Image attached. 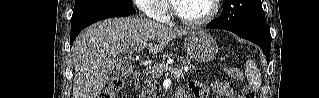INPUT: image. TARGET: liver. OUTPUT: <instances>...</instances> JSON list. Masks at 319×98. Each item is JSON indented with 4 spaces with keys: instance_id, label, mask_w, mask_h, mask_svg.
Masks as SVG:
<instances>
[{
    "instance_id": "liver-1",
    "label": "liver",
    "mask_w": 319,
    "mask_h": 98,
    "mask_svg": "<svg viewBox=\"0 0 319 98\" xmlns=\"http://www.w3.org/2000/svg\"><path fill=\"white\" fill-rule=\"evenodd\" d=\"M192 32L137 16L110 18L90 26L72 46L75 67L72 98L99 96L109 80L107 61L154 39L158 41L149 45V52L157 54L172 39Z\"/></svg>"
}]
</instances>
